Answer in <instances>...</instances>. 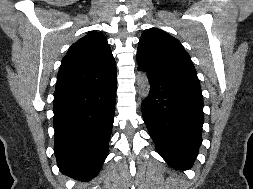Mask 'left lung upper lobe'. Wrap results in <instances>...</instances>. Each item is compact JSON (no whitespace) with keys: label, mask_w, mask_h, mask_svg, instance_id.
Wrapping results in <instances>:
<instances>
[{"label":"left lung upper lobe","mask_w":253,"mask_h":189,"mask_svg":"<svg viewBox=\"0 0 253 189\" xmlns=\"http://www.w3.org/2000/svg\"><path fill=\"white\" fill-rule=\"evenodd\" d=\"M137 63L150 75L167 77L200 88L195 67L180 42L168 33L150 28L141 35Z\"/></svg>","instance_id":"5c2ea615"}]
</instances>
